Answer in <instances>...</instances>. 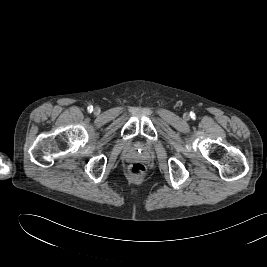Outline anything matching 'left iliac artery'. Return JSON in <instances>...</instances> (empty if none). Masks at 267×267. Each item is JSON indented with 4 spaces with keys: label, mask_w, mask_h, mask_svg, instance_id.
Returning <instances> with one entry per match:
<instances>
[{
    "label": "left iliac artery",
    "mask_w": 267,
    "mask_h": 267,
    "mask_svg": "<svg viewBox=\"0 0 267 267\" xmlns=\"http://www.w3.org/2000/svg\"><path fill=\"white\" fill-rule=\"evenodd\" d=\"M190 116H191V118H195V113L194 112H191L190 113Z\"/></svg>",
    "instance_id": "left-iliac-artery-1"
}]
</instances>
